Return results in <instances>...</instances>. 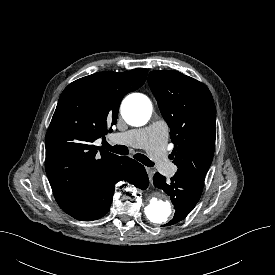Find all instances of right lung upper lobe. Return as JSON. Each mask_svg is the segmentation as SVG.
Wrapping results in <instances>:
<instances>
[{
	"instance_id": "1",
	"label": "right lung upper lobe",
	"mask_w": 275,
	"mask_h": 275,
	"mask_svg": "<svg viewBox=\"0 0 275 275\" xmlns=\"http://www.w3.org/2000/svg\"><path fill=\"white\" fill-rule=\"evenodd\" d=\"M147 72H98L62 92L46 134V172L64 212L78 208L87 191L119 163L121 157L98 153L93 142L105 139L108 127L117 122L122 98L144 84Z\"/></svg>"
}]
</instances>
